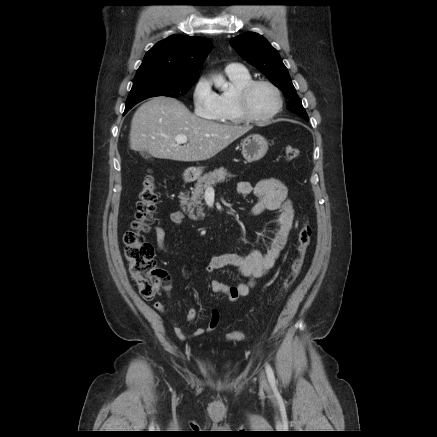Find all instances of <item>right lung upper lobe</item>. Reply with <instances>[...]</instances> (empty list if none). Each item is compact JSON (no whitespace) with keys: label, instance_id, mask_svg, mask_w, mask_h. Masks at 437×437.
Returning <instances> with one entry per match:
<instances>
[{"label":"right lung upper lobe","instance_id":"right-lung-upper-lobe-1","mask_svg":"<svg viewBox=\"0 0 437 437\" xmlns=\"http://www.w3.org/2000/svg\"><path fill=\"white\" fill-rule=\"evenodd\" d=\"M212 47L202 37L172 35L145 55L137 72L158 69L180 77H198V70Z\"/></svg>","mask_w":437,"mask_h":437}]
</instances>
